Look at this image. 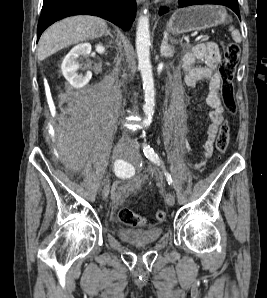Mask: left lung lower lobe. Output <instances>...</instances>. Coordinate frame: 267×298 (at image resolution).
Here are the masks:
<instances>
[{"label":"left lung lower lobe","instance_id":"0a47b994","mask_svg":"<svg viewBox=\"0 0 267 298\" xmlns=\"http://www.w3.org/2000/svg\"><path fill=\"white\" fill-rule=\"evenodd\" d=\"M197 4H219L224 5L232 9L240 18V12L238 7L237 0H179L180 7H186ZM168 9L166 7H162L159 11V15H163L166 13Z\"/></svg>","mask_w":267,"mask_h":298}]
</instances>
